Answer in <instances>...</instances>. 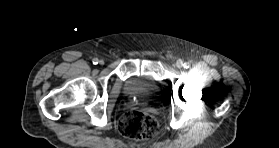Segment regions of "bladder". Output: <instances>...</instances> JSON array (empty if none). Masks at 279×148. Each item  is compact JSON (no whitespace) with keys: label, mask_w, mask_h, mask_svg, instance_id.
Masks as SVG:
<instances>
[{"label":"bladder","mask_w":279,"mask_h":148,"mask_svg":"<svg viewBox=\"0 0 279 148\" xmlns=\"http://www.w3.org/2000/svg\"><path fill=\"white\" fill-rule=\"evenodd\" d=\"M124 92L146 103L155 102L161 94L160 84L150 75H132L124 84Z\"/></svg>","instance_id":"obj_1"}]
</instances>
